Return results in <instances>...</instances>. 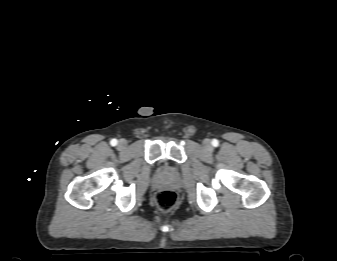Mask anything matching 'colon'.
I'll return each mask as SVG.
<instances>
[{"mask_svg":"<svg viewBox=\"0 0 337 261\" xmlns=\"http://www.w3.org/2000/svg\"><path fill=\"white\" fill-rule=\"evenodd\" d=\"M177 201L178 196L176 192L172 190H160L155 195V203L157 207L164 212L172 210L176 206Z\"/></svg>","mask_w":337,"mask_h":261,"instance_id":"colon-1","label":"colon"}]
</instances>
